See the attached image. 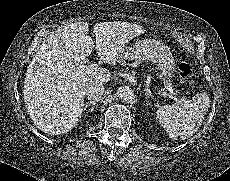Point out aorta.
Segmentation results:
<instances>
[{"label":"aorta","instance_id":"obj_1","mask_svg":"<svg viewBox=\"0 0 230 181\" xmlns=\"http://www.w3.org/2000/svg\"><path fill=\"white\" fill-rule=\"evenodd\" d=\"M118 97L121 100V102L126 104H133L137 100L136 94L128 86L120 87L118 89Z\"/></svg>","mask_w":230,"mask_h":181}]
</instances>
